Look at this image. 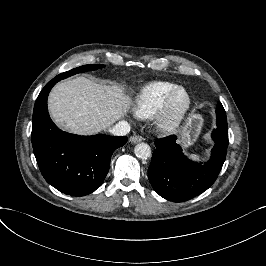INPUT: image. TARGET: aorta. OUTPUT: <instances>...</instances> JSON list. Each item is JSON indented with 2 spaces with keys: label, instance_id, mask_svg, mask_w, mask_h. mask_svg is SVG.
Returning a JSON list of instances; mask_svg holds the SVG:
<instances>
[{
  "label": "aorta",
  "instance_id": "aorta-1",
  "mask_svg": "<svg viewBox=\"0 0 266 266\" xmlns=\"http://www.w3.org/2000/svg\"><path fill=\"white\" fill-rule=\"evenodd\" d=\"M134 153L138 158L146 160L151 156V148L147 143L142 142L135 146Z\"/></svg>",
  "mask_w": 266,
  "mask_h": 266
}]
</instances>
